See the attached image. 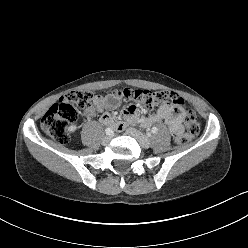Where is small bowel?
I'll return each mask as SVG.
<instances>
[{"label": "small bowel", "instance_id": "c3829d8e", "mask_svg": "<svg viewBox=\"0 0 248 248\" xmlns=\"http://www.w3.org/2000/svg\"><path fill=\"white\" fill-rule=\"evenodd\" d=\"M128 98L129 93L127 89L122 86H117L112 89L110 96H96L94 98L93 108L90 109L87 114L89 116L101 114L100 121L103 124L114 129L122 130L125 127V123L116 121L111 113L105 112V109L109 107L119 109L122 104L127 102ZM123 114L127 120H137L143 126L164 122L170 127L175 135L183 133L182 121L184 113L182 109L177 107L162 105L151 116L139 118L136 107L132 104H128L124 108Z\"/></svg>", "mask_w": 248, "mask_h": 248}]
</instances>
